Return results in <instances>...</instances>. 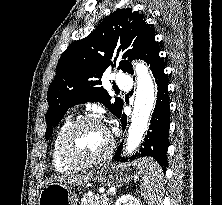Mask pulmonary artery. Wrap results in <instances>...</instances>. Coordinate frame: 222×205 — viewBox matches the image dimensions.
Here are the masks:
<instances>
[{
    "label": "pulmonary artery",
    "instance_id": "1",
    "mask_svg": "<svg viewBox=\"0 0 222 205\" xmlns=\"http://www.w3.org/2000/svg\"><path fill=\"white\" fill-rule=\"evenodd\" d=\"M115 81L118 89H129L131 86V77L128 74H118Z\"/></svg>",
    "mask_w": 222,
    "mask_h": 205
}]
</instances>
